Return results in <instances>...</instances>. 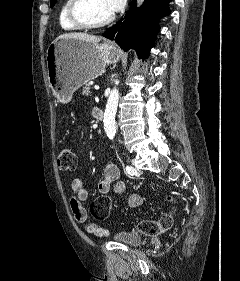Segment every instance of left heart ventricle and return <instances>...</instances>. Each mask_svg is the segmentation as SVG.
Listing matches in <instances>:
<instances>
[{"label":"left heart ventricle","mask_w":240,"mask_h":281,"mask_svg":"<svg viewBox=\"0 0 240 281\" xmlns=\"http://www.w3.org/2000/svg\"><path fill=\"white\" fill-rule=\"evenodd\" d=\"M81 11L91 21H101L109 17L113 12L108 7L106 0H86Z\"/></svg>","instance_id":"1"}]
</instances>
